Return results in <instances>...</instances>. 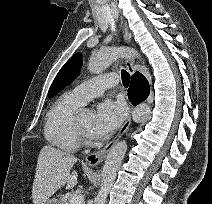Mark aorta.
Wrapping results in <instances>:
<instances>
[{"label":"aorta","mask_w":212,"mask_h":204,"mask_svg":"<svg viewBox=\"0 0 212 204\" xmlns=\"http://www.w3.org/2000/svg\"><path fill=\"white\" fill-rule=\"evenodd\" d=\"M124 56L140 57L137 51L123 47L102 48L93 53L88 63L90 73L99 74L109 67L116 59ZM85 112H87L85 110ZM151 115V108L143 103L138 105L133 111V121L141 123L146 121ZM127 150V142L119 141L108 153L102 171L101 187L95 198L96 204H105L107 195L115 181L117 171L122 163Z\"/></svg>","instance_id":"aorta-1"}]
</instances>
